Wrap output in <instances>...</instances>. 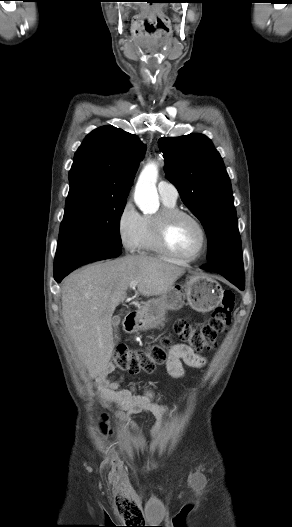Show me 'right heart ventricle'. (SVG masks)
Instances as JSON below:
<instances>
[{
    "label": "right heart ventricle",
    "instance_id": "right-heart-ventricle-1",
    "mask_svg": "<svg viewBox=\"0 0 292 527\" xmlns=\"http://www.w3.org/2000/svg\"><path fill=\"white\" fill-rule=\"evenodd\" d=\"M163 208L172 209L176 208V202L162 198ZM152 216H142L141 227L137 240L136 249L138 252L143 254H163L157 247L152 228Z\"/></svg>",
    "mask_w": 292,
    "mask_h": 527
}]
</instances>
